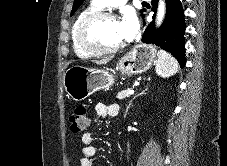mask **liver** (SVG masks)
<instances>
[{
    "instance_id": "1",
    "label": "liver",
    "mask_w": 227,
    "mask_h": 166,
    "mask_svg": "<svg viewBox=\"0 0 227 166\" xmlns=\"http://www.w3.org/2000/svg\"><path fill=\"white\" fill-rule=\"evenodd\" d=\"M109 61H111V58H105L102 60H95L94 63L97 65H103V64H107Z\"/></svg>"
}]
</instances>
